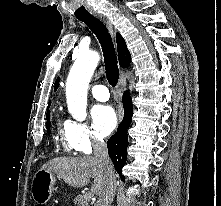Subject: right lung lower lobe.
Instances as JSON below:
<instances>
[{"mask_svg":"<svg viewBox=\"0 0 221 206\" xmlns=\"http://www.w3.org/2000/svg\"><path fill=\"white\" fill-rule=\"evenodd\" d=\"M123 105H124V118L120 123L117 133H115L107 142L108 154L112 159L114 167L121 177L125 180L122 175L121 169L124 166L127 158V147H128V136L127 129L132 121L133 107L130 95L125 92L123 95Z\"/></svg>","mask_w":221,"mask_h":206,"instance_id":"right-lung-lower-lobe-1","label":"right lung lower lobe"}]
</instances>
